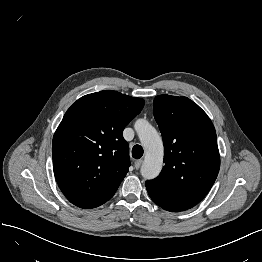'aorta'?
<instances>
[{
	"label": "aorta",
	"instance_id": "aorta-1",
	"mask_svg": "<svg viewBox=\"0 0 262 262\" xmlns=\"http://www.w3.org/2000/svg\"><path fill=\"white\" fill-rule=\"evenodd\" d=\"M134 127L145 150L141 175L145 179H154L160 174L163 165L164 148L162 139L157 130L147 120H137Z\"/></svg>",
	"mask_w": 262,
	"mask_h": 262
}]
</instances>
